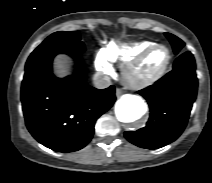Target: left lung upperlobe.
I'll return each instance as SVG.
<instances>
[{"mask_svg":"<svg viewBox=\"0 0 212 183\" xmlns=\"http://www.w3.org/2000/svg\"><path fill=\"white\" fill-rule=\"evenodd\" d=\"M165 35L171 42L174 53L178 54L181 51L182 47L185 45L184 42L173 34L165 33Z\"/></svg>","mask_w":212,"mask_h":183,"instance_id":"obj_1","label":"left lung upper lobe"}]
</instances>
